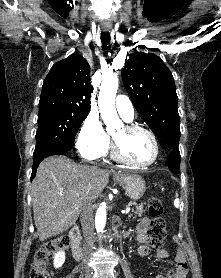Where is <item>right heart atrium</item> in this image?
Masks as SVG:
<instances>
[{"label":"right heart atrium","instance_id":"d8ad5b80","mask_svg":"<svg viewBox=\"0 0 221 278\" xmlns=\"http://www.w3.org/2000/svg\"><path fill=\"white\" fill-rule=\"evenodd\" d=\"M110 138L99 118L89 114L83 121L77 135L76 147L80 155L88 160L101 158L108 150Z\"/></svg>","mask_w":221,"mask_h":278}]
</instances>
